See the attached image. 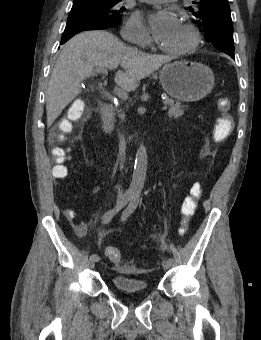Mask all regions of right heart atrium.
<instances>
[{
	"label": "right heart atrium",
	"mask_w": 261,
	"mask_h": 340,
	"mask_svg": "<svg viewBox=\"0 0 261 340\" xmlns=\"http://www.w3.org/2000/svg\"><path fill=\"white\" fill-rule=\"evenodd\" d=\"M123 38L133 41L134 43L146 47L151 43L150 35L137 13L131 15L125 22L122 29Z\"/></svg>",
	"instance_id": "d8ad5b80"
}]
</instances>
